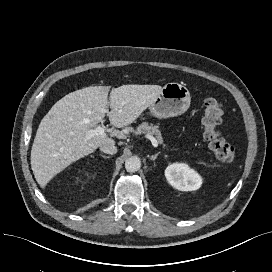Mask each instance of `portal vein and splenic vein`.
I'll return each instance as SVG.
<instances>
[{"label":"portal vein and splenic vein","instance_id":"1","mask_svg":"<svg viewBox=\"0 0 272 272\" xmlns=\"http://www.w3.org/2000/svg\"><path fill=\"white\" fill-rule=\"evenodd\" d=\"M89 136H93V135H97V136H105V127L103 125H98L95 129H91L88 132ZM146 138H148L151 141V144L154 147H158V141L156 140L155 137L151 136V135H146Z\"/></svg>","mask_w":272,"mask_h":272}]
</instances>
